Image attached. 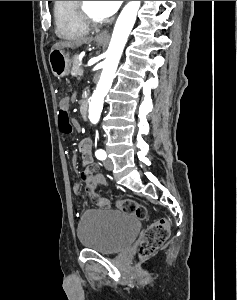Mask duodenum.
Segmentation results:
<instances>
[{"instance_id": "obj_1", "label": "duodenum", "mask_w": 237, "mask_h": 300, "mask_svg": "<svg viewBox=\"0 0 237 300\" xmlns=\"http://www.w3.org/2000/svg\"><path fill=\"white\" fill-rule=\"evenodd\" d=\"M79 112H80V115H81V118L83 120H85L87 118V113H88V102L86 99H83L81 102H80V105H79Z\"/></svg>"}]
</instances>
